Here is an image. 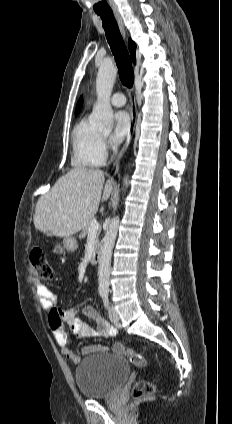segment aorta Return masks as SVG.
Segmentation results:
<instances>
[{
  "mask_svg": "<svg viewBox=\"0 0 232 424\" xmlns=\"http://www.w3.org/2000/svg\"><path fill=\"white\" fill-rule=\"evenodd\" d=\"M117 75V68L112 64H103L100 66L96 78L97 102L93 107L91 120L99 127L111 128L113 126L114 116L110 104V97L113 85ZM124 185L127 187L128 179L124 178ZM119 216L111 219L106 230L104 244L100 252L98 266L99 292L108 293L109 277L112 250L119 227Z\"/></svg>",
  "mask_w": 232,
  "mask_h": 424,
  "instance_id": "aorta-1",
  "label": "aorta"
}]
</instances>
